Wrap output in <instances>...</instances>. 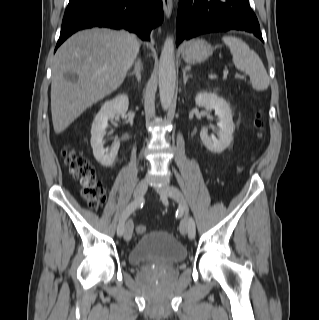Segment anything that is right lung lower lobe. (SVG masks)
Instances as JSON below:
<instances>
[{
    "label": "right lung lower lobe",
    "instance_id": "obj_1",
    "mask_svg": "<svg viewBox=\"0 0 319 320\" xmlns=\"http://www.w3.org/2000/svg\"><path fill=\"white\" fill-rule=\"evenodd\" d=\"M162 21V0H75L65 11L56 49L76 31L93 26L122 28L150 40Z\"/></svg>",
    "mask_w": 319,
    "mask_h": 320
}]
</instances>
